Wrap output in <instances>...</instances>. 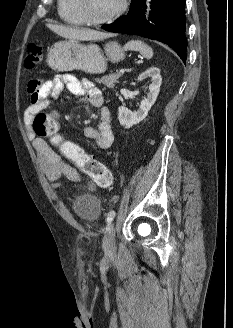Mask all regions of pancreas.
<instances>
[{
    "label": "pancreas",
    "mask_w": 233,
    "mask_h": 328,
    "mask_svg": "<svg viewBox=\"0 0 233 328\" xmlns=\"http://www.w3.org/2000/svg\"><path fill=\"white\" fill-rule=\"evenodd\" d=\"M122 76L121 73H114L103 76L101 79H95L97 83H103L108 88H113L118 79Z\"/></svg>",
    "instance_id": "pancreas-1"
}]
</instances>
